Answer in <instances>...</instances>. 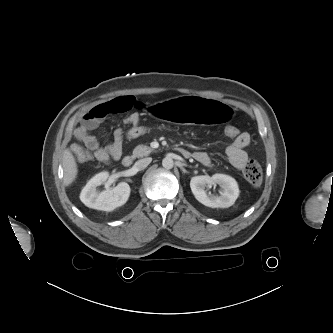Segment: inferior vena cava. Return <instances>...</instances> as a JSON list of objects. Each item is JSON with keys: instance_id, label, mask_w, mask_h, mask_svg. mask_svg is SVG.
<instances>
[{"instance_id": "inferior-vena-cava-1", "label": "inferior vena cava", "mask_w": 333, "mask_h": 333, "mask_svg": "<svg viewBox=\"0 0 333 333\" xmlns=\"http://www.w3.org/2000/svg\"><path fill=\"white\" fill-rule=\"evenodd\" d=\"M152 161V158L148 157V158H144V159H140L137 162H135V167L138 170H143L145 169Z\"/></svg>"}]
</instances>
